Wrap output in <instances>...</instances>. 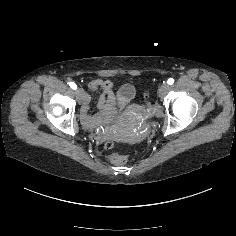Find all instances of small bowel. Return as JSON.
<instances>
[{
  "label": "small bowel",
  "instance_id": "1",
  "mask_svg": "<svg viewBox=\"0 0 236 236\" xmlns=\"http://www.w3.org/2000/svg\"><path fill=\"white\" fill-rule=\"evenodd\" d=\"M88 86L92 89L102 88L104 89V91H111V88L113 87V83L108 80H96V81H90L88 83ZM86 96L88 95L83 96V100L85 99ZM110 115L111 114H109L107 117H109Z\"/></svg>",
  "mask_w": 236,
  "mask_h": 236
}]
</instances>
